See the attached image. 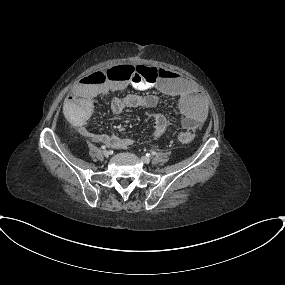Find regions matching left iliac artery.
<instances>
[{
	"label": "left iliac artery",
	"instance_id": "left-iliac-artery-1",
	"mask_svg": "<svg viewBox=\"0 0 285 285\" xmlns=\"http://www.w3.org/2000/svg\"><path fill=\"white\" fill-rule=\"evenodd\" d=\"M151 154L152 155H156L157 153L155 151H151Z\"/></svg>",
	"mask_w": 285,
	"mask_h": 285
}]
</instances>
